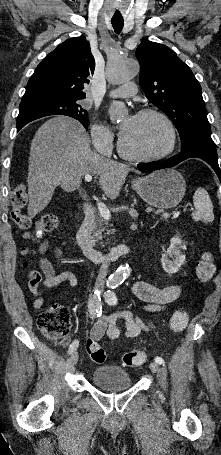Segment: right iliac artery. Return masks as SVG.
I'll return each mask as SVG.
<instances>
[{
    "instance_id": "82829eb1",
    "label": "right iliac artery",
    "mask_w": 221,
    "mask_h": 455,
    "mask_svg": "<svg viewBox=\"0 0 221 455\" xmlns=\"http://www.w3.org/2000/svg\"><path fill=\"white\" fill-rule=\"evenodd\" d=\"M88 309L89 313L92 317H100L102 314V302L100 297V291L96 290L93 296L88 301ZM78 340H75L69 347L68 353L71 354L74 352L78 347Z\"/></svg>"
}]
</instances>
